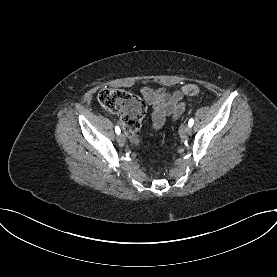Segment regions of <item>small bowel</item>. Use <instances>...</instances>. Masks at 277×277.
<instances>
[{"mask_svg":"<svg viewBox=\"0 0 277 277\" xmlns=\"http://www.w3.org/2000/svg\"><path fill=\"white\" fill-rule=\"evenodd\" d=\"M145 101L153 107L152 128L160 129L166 120L178 119L184 112L185 103L180 90L169 92L165 88H151L143 86L140 90Z\"/></svg>","mask_w":277,"mask_h":277,"instance_id":"c3829d8e","label":"small bowel"}]
</instances>
